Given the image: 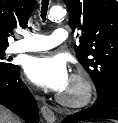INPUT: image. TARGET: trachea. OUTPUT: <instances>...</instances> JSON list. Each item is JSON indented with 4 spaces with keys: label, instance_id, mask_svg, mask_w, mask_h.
I'll use <instances>...</instances> for the list:
<instances>
[{
    "label": "trachea",
    "instance_id": "trachea-1",
    "mask_svg": "<svg viewBox=\"0 0 118 123\" xmlns=\"http://www.w3.org/2000/svg\"><path fill=\"white\" fill-rule=\"evenodd\" d=\"M41 18L43 21L46 20V15H47V10H48V5H49V0H42L41 3Z\"/></svg>",
    "mask_w": 118,
    "mask_h": 123
}]
</instances>
